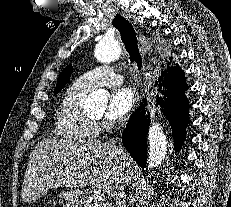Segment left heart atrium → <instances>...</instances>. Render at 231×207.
<instances>
[{
    "mask_svg": "<svg viewBox=\"0 0 231 207\" xmlns=\"http://www.w3.org/2000/svg\"><path fill=\"white\" fill-rule=\"evenodd\" d=\"M135 103V94L129 88L114 90L108 102L107 118L110 120H120L130 112Z\"/></svg>",
    "mask_w": 231,
    "mask_h": 207,
    "instance_id": "obj_1",
    "label": "left heart atrium"
}]
</instances>
